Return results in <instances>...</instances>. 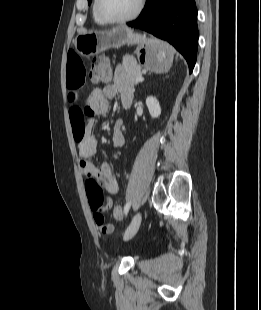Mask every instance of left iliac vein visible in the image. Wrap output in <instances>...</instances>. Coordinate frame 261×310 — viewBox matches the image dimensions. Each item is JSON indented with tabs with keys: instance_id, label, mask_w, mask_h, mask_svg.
I'll return each mask as SVG.
<instances>
[{
	"instance_id": "obj_1",
	"label": "left iliac vein",
	"mask_w": 261,
	"mask_h": 310,
	"mask_svg": "<svg viewBox=\"0 0 261 310\" xmlns=\"http://www.w3.org/2000/svg\"><path fill=\"white\" fill-rule=\"evenodd\" d=\"M142 221V214L138 212L124 234V240H130L138 231Z\"/></svg>"
}]
</instances>
